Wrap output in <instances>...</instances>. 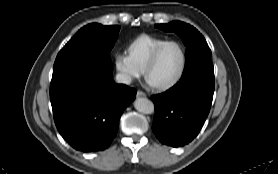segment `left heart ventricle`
<instances>
[{
    "label": "left heart ventricle",
    "mask_w": 278,
    "mask_h": 174,
    "mask_svg": "<svg viewBox=\"0 0 278 174\" xmlns=\"http://www.w3.org/2000/svg\"><path fill=\"white\" fill-rule=\"evenodd\" d=\"M181 59V50L178 45L169 44L164 47L149 73V81L164 83L171 80L180 68Z\"/></svg>",
    "instance_id": "1"
}]
</instances>
